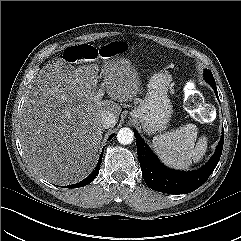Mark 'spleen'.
I'll return each mask as SVG.
<instances>
[{"label": "spleen", "instance_id": "spleen-1", "mask_svg": "<svg viewBox=\"0 0 241 241\" xmlns=\"http://www.w3.org/2000/svg\"><path fill=\"white\" fill-rule=\"evenodd\" d=\"M197 127L187 124L153 138V147L160 160L169 167L187 170L192 163L202 160L207 150V138L197 142ZM196 142V143H195Z\"/></svg>", "mask_w": 241, "mask_h": 241}]
</instances>
